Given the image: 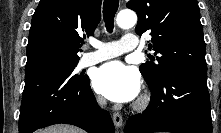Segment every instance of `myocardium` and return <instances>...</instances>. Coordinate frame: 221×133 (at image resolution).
<instances>
[{"mask_svg": "<svg viewBox=\"0 0 221 133\" xmlns=\"http://www.w3.org/2000/svg\"><path fill=\"white\" fill-rule=\"evenodd\" d=\"M148 102H149V97H148V96H143V97L138 101V103H137V105H136V108L142 109V108H144V107L147 106Z\"/></svg>", "mask_w": 221, "mask_h": 133, "instance_id": "1", "label": "myocardium"}]
</instances>
